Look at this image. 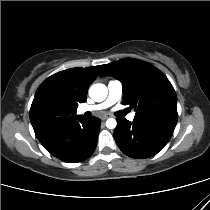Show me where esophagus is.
<instances>
[{
    "label": "esophagus",
    "instance_id": "obj_1",
    "mask_svg": "<svg viewBox=\"0 0 210 210\" xmlns=\"http://www.w3.org/2000/svg\"><path fill=\"white\" fill-rule=\"evenodd\" d=\"M108 117H109L108 115H103V116H101V119L106 120Z\"/></svg>",
    "mask_w": 210,
    "mask_h": 210
}]
</instances>
